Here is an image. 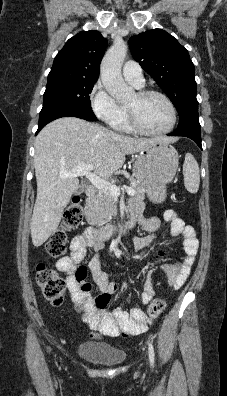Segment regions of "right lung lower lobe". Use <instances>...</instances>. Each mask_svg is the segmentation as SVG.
Listing matches in <instances>:
<instances>
[{
    "instance_id": "98d812e1",
    "label": "right lung lower lobe",
    "mask_w": 227,
    "mask_h": 396,
    "mask_svg": "<svg viewBox=\"0 0 227 396\" xmlns=\"http://www.w3.org/2000/svg\"><path fill=\"white\" fill-rule=\"evenodd\" d=\"M61 117H78L87 121H95L80 110L70 106H54L42 109L36 134L49 122Z\"/></svg>"
}]
</instances>
